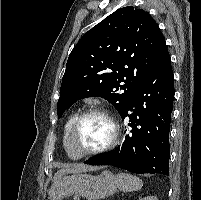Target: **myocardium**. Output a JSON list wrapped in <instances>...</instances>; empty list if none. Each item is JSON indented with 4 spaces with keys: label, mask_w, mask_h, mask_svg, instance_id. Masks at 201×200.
Wrapping results in <instances>:
<instances>
[{
    "label": "myocardium",
    "mask_w": 201,
    "mask_h": 200,
    "mask_svg": "<svg viewBox=\"0 0 201 200\" xmlns=\"http://www.w3.org/2000/svg\"><path fill=\"white\" fill-rule=\"evenodd\" d=\"M94 115L101 116L109 122V124L111 126V137H110L109 141L102 147H99V148H96L93 150H89L86 152H77L73 145V136H74L75 130L83 119L90 117V116H94ZM119 137H120V127H119V123H118L116 117L107 109H104L101 107H94V108L85 110L76 116V118L72 122V124L67 132L66 146H67V150H68L71 158L81 159V158L88 157V156H95V155L103 154V153H106V152L112 150L118 144Z\"/></svg>",
    "instance_id": "1"
}]
</instances>
